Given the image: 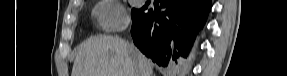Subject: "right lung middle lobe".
Masks as SVG:
<instances>
[{"instance_id":"dd1d6c3e","label":"right lung middle lobe","mask_w":287,"mask_h":76,"mask_svg":"<svg viewBox=\"0 0 287 76\" xmlns=\"http://www.w3.org/2000/svg\"><path fill=\"white\" fill-rule=\"evenodd\" d=\"M145 9H147V6H144L141 9H132V21H134L138 16L143 14Z\"/></svg>"}]
</instances>
